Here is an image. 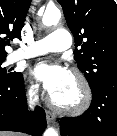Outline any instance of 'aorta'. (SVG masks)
I'll use <instances>...</instances> for the list:
<instances>
[{"instance_id":"obj_1","label":"aorta","mask_w":117,"mask_h":136,"mask_svg":"<svg viewBox=\"0 0 117 136\" xmlns=\"http://www.w3.org/2000/svg\"><path fill=\"white\" fill-rule=\"evenodd\" d=\"M60 18L61 12L58 8H47L42 17V23L46 26L54 25L59 22ZM43 136H59V135L54 128H48L44 132Z\"/></svg>"}]
</instances>
